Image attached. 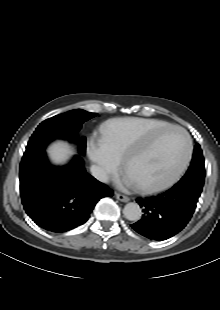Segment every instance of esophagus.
<instances>
[{
  "label": "esophagus",
  "instance_id": "obj_1",
  "mask_svg": "<svg viewBox=\"0 0 220 310\" xmlns=\"http://www.w3.org/2000/svg\"><path fill=\"white\" fill-rule=\"evenodd\" d=\"M116 197L117 199H119L120 201H123V202H127L129 200V198L125 195H122V194H116Z\"/></svg>",
  "mask_w": 220,
  "mask_h": 310
}]
</instances>
